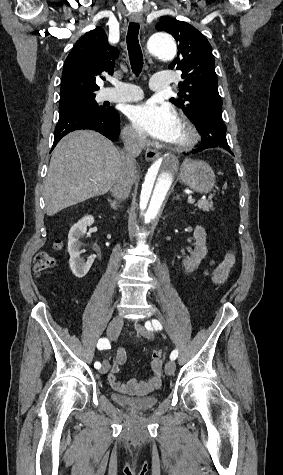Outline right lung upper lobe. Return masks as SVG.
<instances>
[{
	"label": "right lung upper lobe",
	"mask_w": 283,
	"mask_h": 475,
	"mask_svg": "<svg viewBox=\"0 0 283 475\" xmlns=\"http://www.w3.org/2000/svg\"><path fill=\"white\" fill-rule=\"evenodd\" d=\"M118 56V49L109 45L102 27L87 32L65 60L61 91L96 92L99 90L96 80L103 79L102 73H113Z\"/></svg>",
	"instance_id": "cb5924a9"
}]
</instances>
